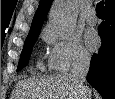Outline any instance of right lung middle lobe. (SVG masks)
<instances>
[{"label": "right lung middle lobe", "instance_id": "obj_1", "mask_svg": "<svg viewBox=\"0 0 115 99\" xmlns=\"http://www.w3.org/2000/svg\"><path fill=\"white\" fill-rule=\"evenodd\" d=\"M38 35L39 34H33V35L27 36L21 56H20L17 71H20L23 67H25L27 65L29 58H30V54L32 52L33 45H34Z\"/></svg>", "mask_w": 115, "mask_h": 99}]
</instances>
